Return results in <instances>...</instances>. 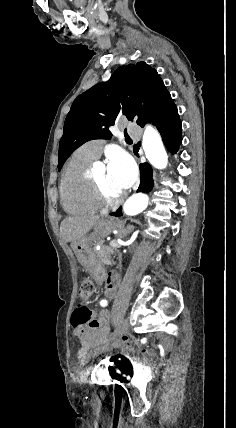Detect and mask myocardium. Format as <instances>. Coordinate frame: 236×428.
<instances>
[{
  "instance_id": "myocardium-1",
  "label": "myocardium",
  "mask_w": 236,
  "mask_h": 428,
  "mask_svg": "<svg viewBox=\"0 0 236 428\" xmlns=\"http://www.w3.org/2000/svg\"><path fill=\"white\" fill-rule=\"evenodd\" d=\"M90 179H91L93 195H94L96 201L101 206L119 205L125 200V198L127 196L126 192H124L123 194H121L118 197H111L107 194V192L105 191L101 182L94 175H91Z\"/></svg>"
}]
</instances>
